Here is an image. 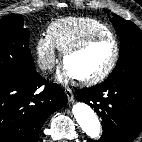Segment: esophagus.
I'll use <instances>...</instances> for the list:
<instances>
[{"label":"esophagus","instance_id":"obj_1","mask_svg":"<svg viewBox=\"0 0 142 142\" xmlns=\"http://www.w3.org/2000/svg\"><path fill=\"white\" fill-rule=\"evenodd\" d=\"M65 93H66V96H67V99H68L69 102L74 101V94H73L71 89L67 88L65 90Z\"/></svg>","mask_w":142,"mask_h":142}]
</instances>
